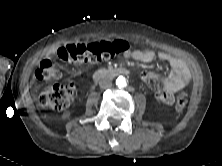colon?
<instances>
[{
  "instance_id": "colon-1",
  "label": "colon",
  "mask_w": 222,
  "mask_h": 166,
  "mask_svg": "<svg viewBox=\"0 0 222 166\" xmlns=\"http://www.w3.org/2000/svg\"><path fill=\"white\" fill-rule=\"evenodd\" d=\"M128 48V43L122 40L67 45L58 50L56 58H45L36 70L35 76L39 80L52 81L60 77L59 61L96 63L123 55L128 51ZM74 92L75 87L73 84H55L39 96L38 102L44 108L60 111L70 104ZM187 102V94H178L175 104L176 109L182 110Z\"/></svg>"
}]
</instances>
